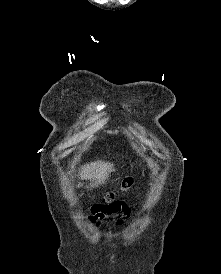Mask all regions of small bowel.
Wrapping results in <instances>:
<instances>
[{"mask_svg":"<svg viewBox=\"0 0 221 274\" xmlns=\"http://www.w3.org/2000/svg\"><path fill=\"white\" fill-rule=\"evenodd\" d=\"M130 217L131 209L124 202H115L94 205L88 215V221L98 228L107 221H110L113 226L121 227Z\"/></svg>","mask_w":221,"mask_h":274,"instance_id":"small-bowel-1","label":"small bowel"}]
</instances>
